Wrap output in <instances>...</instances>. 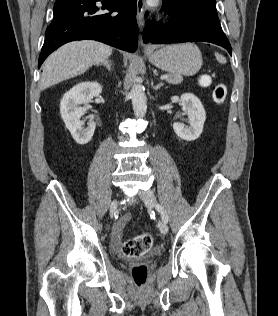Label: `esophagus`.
Listing matches in <instances>:
<instances>
[{
	"instance_id": "1",
	"label": "esophagus",
	"mask_w": 278,
	"mask_h": 316,
	"mask_svg": "<svg viewBox=\"0 0 278 316\" xmlns=\"http://www.w3.org/2000/svg\"><path fill=\"white\" fill-rule=\"evenodd\" d=\"M144 6H145L144 0H137L136 18H137V24H138V29H139V42H140V45L145 50H148L149 47L143 43V34H144V30H145Z\"/></svg>"
}]
</instances>
